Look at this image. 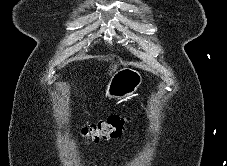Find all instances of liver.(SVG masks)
Masks as SVG:
<instances>
[{
	"label": "liver",
	"mask_w": 227,
	"mask_h": 166,
	"mask_svg": "<svg viewBox=\"0 0 227 166\" xmlns=\"http://www.w3.org/2000/svg\"><path fill=\"white\" fill-rule=\"evenodd\" d=\"M116 69H117V65L112 66V70L110 71V75H111L112 71H116Z\"/></svg>",
	"instance_id": "6515ba94"
}]
</instances>
